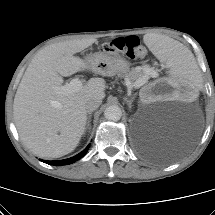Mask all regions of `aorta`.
Instances as JSON below:
<instances>
[{"label": "aorta", "instance_id": "obj_1", "mask_svg": "<svg viewBox=\"0 0 215 215\" xmlns=\"http://www.w3.org/2000/svg\"><path fill=\"white\" fill-rule=\"evenodd\" d=\"M104 116L109 121H118L122 117L121 108L117 105L108 106L104 111Z\"/></svg>", "mask_w": 215, "mask_h": 215}]
</instances>
